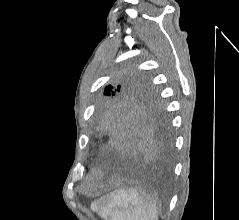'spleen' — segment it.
<instances>
[{
  "label": "spleen",
  "mask_w": 239,
  "mask_h": 220,
  "mask_svg": "<svg viewBox=\"0 0 239 220\" xmlns=\"http://www.w3.org/2000/svg\"><path fill=\"white\" fill-rule=\"evenodd\" d=\"M105 220H158L156 201L142 196L135 189H118L100 198L93 205Z\"/></svg>",
  "instance_id": "1"
}]
</instances>
